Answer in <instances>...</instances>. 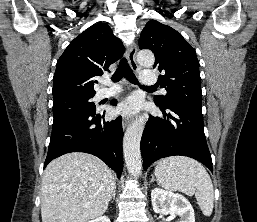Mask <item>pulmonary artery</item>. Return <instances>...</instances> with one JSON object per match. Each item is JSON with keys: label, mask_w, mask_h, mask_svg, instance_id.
Masks as SVG:
<instances>
[{"label": "pulmonary artery", "mask_w": 257, "mask_h": 222, "mask_svg": "<svg viewBox=\"0 0 257 222\" xmlns=\"http://www.w3.org/2000/svg\"><path fill=\"white\" fill-rule=\"evenodd\" d=\"M140 80L145 85H155L157 84V75L152 71H142L140 73ZM102 82L106 87L96 92V99H103L118 94L122 90L120 86L109 83L107 79H104ZM163 92L165 93V90H163Z\"/></svg>", "instance_id": "pulmonary-artery-1"}]
</instances>
